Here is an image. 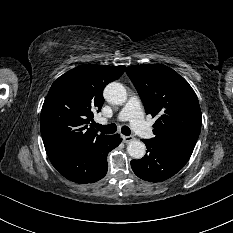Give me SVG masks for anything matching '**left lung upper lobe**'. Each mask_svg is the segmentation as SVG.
<instances>
[{
  "instance_id": "obj_1",
  "label": "left lung upper lobe",
  "mask_w": 233,
  "mask_h": 233,
  "mask_svg": "<svg viewBox=\"0 0 233 233\" xmlns=\"http://www.w3.org/2000/svg\"><path fill=\"white\" fill-rule=\"evenodd\" d=\"M126 73L137 89L147 114L158 120L153 125L158 143L195 147L201 129L198 98L188 82L161 64L133 65Z\"/></svg>"
}]
</instances>
